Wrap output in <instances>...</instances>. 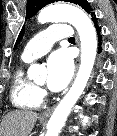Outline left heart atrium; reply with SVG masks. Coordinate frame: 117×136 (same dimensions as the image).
<instances>
[{
	"instance_id": "1",
	"label": "left heart atrium",
	"mask_w": 117,
	"mask_h": 136,
	"mask_svg": "<svg viewBox=\"0 0 117 136\" xmlns=\"http://www.w3.org/2000/svg\"><path fill=\"white\" fill-rule=\"evenodd\" d=\"M47 85L52 91H60L69 83L73 74V60L65 49L52 53L47 61Z\"/></svg>"
}]
</instances>
